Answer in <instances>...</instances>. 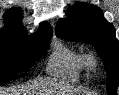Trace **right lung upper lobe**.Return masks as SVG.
<instances>
[{"label": "right lung upper lobe", "mask_w": 119, "mask_h": 95, "mask_svg": "<svg viewBox=\"0 0 119 95\" xmlns=\"http://www.w3.org/2000/svg\"><path fill=\"white\" fill-rule=\"evenodd\" d=\"M22 15V12L18 8L11 9L4 14V19L6 21V26L0 30V36H12L19 33H26L25 28L19 25L18 21ZM51 32V27L47 22L40 25L38 32Z\"/></svg>", "instance_id": "right-lung-upper-lobe-1"}]
</instances>
